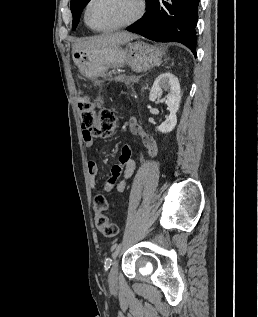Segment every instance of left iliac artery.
<instances>
[{
  "label": "left iliac artery",
  "mask_w": 258,
  "mask_h": 317,
  "mask_svg": "<svg viewBox=\"0 0 258 317\" xmlns=\"http://www.w3.org/2000/svg\"><path fill=\"white\" fill-rule=\"evenodd\" d=\"M122 242H120L117 247L115 248L114 252L112 253V258L115 259L121 249Z\"/></svg>",
  "instance_id": "obj_1"
}]
</instances>
